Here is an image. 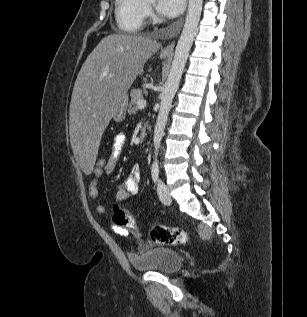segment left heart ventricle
I'll list each match as a JSON object with an SVG mask.
<instances>
[{"label":"left heart ventricle","instance_id":"b2bd125f","mask_svg":"<svg viewBox=\"0 0 307 317\" xmlns=\"http://www.w3.org/2000/svg\"><path fill=\"white\" fill-rule=\"evenodd\" d=\"M150 3H153L154 0H148Z\"/></svg>","mask_w":307,"mask_h":317}]
</instances>
